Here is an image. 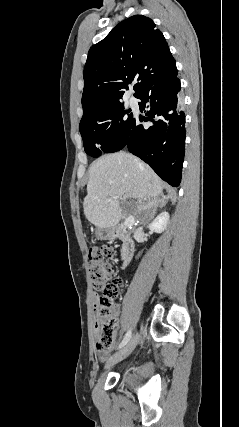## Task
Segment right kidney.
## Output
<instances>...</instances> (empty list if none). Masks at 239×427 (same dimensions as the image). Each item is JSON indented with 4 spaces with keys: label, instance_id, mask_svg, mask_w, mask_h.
<instances>
[{
    "label": "right kidney",
    "instance_id": "obj_1",
    "mask_svg": "<svg viewBox=\"0 0 239 427\" xmlns=\"http://www.w3.org/2000/svg\"><path fill=\"white\" fill-rule=\"evenodd\" d=\"M168 221V212H162L149 224V229L156 233H162L166 229Z\"/></svg>",
    "mask_w": 239,
    "mask_h": 427
}]
</instances>
